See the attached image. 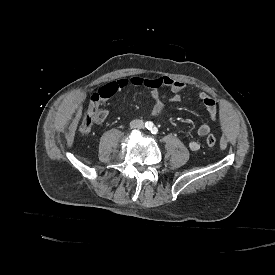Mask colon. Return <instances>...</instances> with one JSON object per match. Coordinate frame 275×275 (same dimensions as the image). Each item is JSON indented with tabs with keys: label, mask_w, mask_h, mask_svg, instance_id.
<instances>
[{
	"label": "colon",
	"mask_w": 275,
	"mask_h": 275,
	"mask_svg": "<svg viewBox=\"0 0 275 275\" xmlns=\"http://www.w3.org/2000/svg\"><path fill=\"white\" fill-rule=\"evenodd\" d=\"M106 116L104 107L97 102L96 97L91 99V104L85 113L83 120L80 124V130L83 132H89L92 128L94 121L102 120ZM206 142L208 146L212 147L216 143L214 136L210 135L207 137Z\"/></svg>",
	"instance_id": "5ec220e1"
}]
</instances>
